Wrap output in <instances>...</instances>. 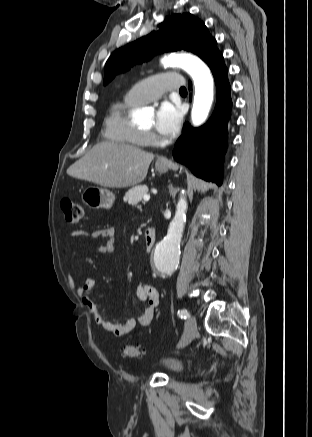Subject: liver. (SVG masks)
Returning a JSON list of instances; mask_svg holds the SVG:
<instances>
[{
	"label": "liver",
	"instance_id": "6515ba94",
	"mask_svg": "<svg viewBox=\"0 0 312 437\" xmlns=\"http://www.w3.org/2000/svg\"><path fill=\"white\" fill-rule=\"evenodd\" d=\"M154 154L138 147L103 141L97 143L67 170L68 175L110 188L142 182Z\"/></svg>",
	"mask_w": 312,
	"mask_h": 437
}]
</instances>
